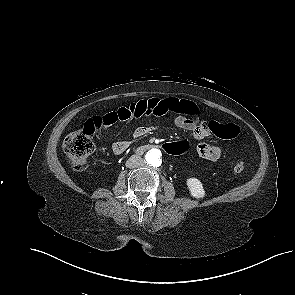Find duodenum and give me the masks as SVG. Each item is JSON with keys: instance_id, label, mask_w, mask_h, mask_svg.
<instances>
[{"instance_id": "obj_1", "label": "duodenum", "mask_w": 295, "mask_h": 295, "mask_svg": "<svg viewBox=\"0 0 295 295\" xmlns=\"http://www.w3.org/2000/svg\"><path fill=\"white\" fill-rule=\"evenodd\" d=\"M159 146L158 145H143V146H140L137 148V153H143L147 150H150L152 148H158Z\"/></svg>"}]
</instances>
